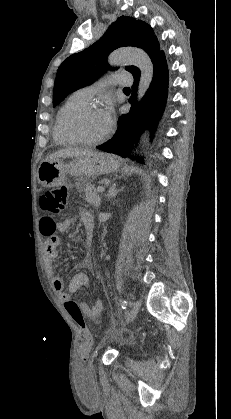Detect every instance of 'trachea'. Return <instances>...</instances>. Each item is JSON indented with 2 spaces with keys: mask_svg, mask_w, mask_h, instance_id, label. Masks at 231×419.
Listing matches in <instances>:
<instances>
[{
  "mask_svg": "<svg viewBox=\"0 0 231 419\" xmlns=\"http://www.w3.org/2000/svg\"><path fill=\"white\" fill-rule=\"evenodd\" d=\"M124 90H130V88L129 87H125Z\"/></svg>",
  "mask_w": 231,
  "mask_h": 419,
  "instance_id": "1",
  "label": "trachea"
}]
</instances>
